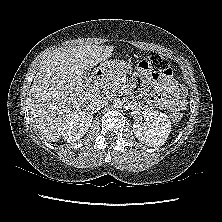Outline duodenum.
Instances as JSON below:
<instances>
[{
  "mask_svg": "<svg viewBox=\"0 0 222 222\" xmlns=\"http://www.w3.org/2000/svg\"><path fill=\"white\" fill-rule=\"evenodd\" d=\"M105 74H106L105 70L101 67L94 71L89 80V86L92 90H95L97 88V86L104 78Z\"/></svg>",
  "mask_w": 222,
  "mask_h": 222,
  "instance_id": "duodenum-1",
  "label": "duodenum"
}]
</instances>
